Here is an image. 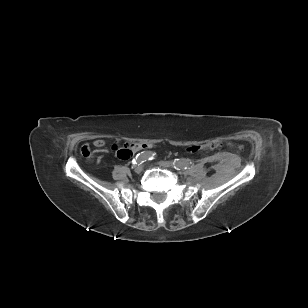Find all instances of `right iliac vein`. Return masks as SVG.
Masks as SVG:
<instances>
[{
	"instance_id": "right-iliac-vein-1",
	"label": "right iliac vein",
	"mask_w": 308,
	"mask_h": 308,
	"mask_svg": "<svg viewBox=\"0 0 308 308\" xmlns=\"http://www.w3.org/2000/svg\"><path fill=\"white\" fill-rule=\"evenodd\" d=\"M143 171V166L142 165H138L135 167V172L136 173H141Z\"/></svg>"
}]
</instances>
